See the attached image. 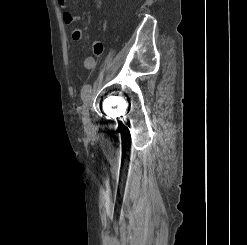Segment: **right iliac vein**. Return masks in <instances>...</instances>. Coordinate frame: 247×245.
<instances>
[{"label":"right iliac vein","mask_w":247,"mask_h":245,"mask_svg":"<svg viewBox=\"0 0 247 245\" xmlns=\"http://www.w3.org/2000/svg\"><path fill=\"white\" fill-rule=\"evenodd\" d=\"M92 95L89 94L82 110V120L85 125V127H90V118H89V106L91 103Z\"/></svg>","instance_id":"obj_1"}]
</instances>
